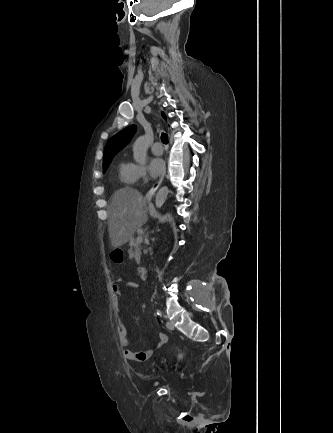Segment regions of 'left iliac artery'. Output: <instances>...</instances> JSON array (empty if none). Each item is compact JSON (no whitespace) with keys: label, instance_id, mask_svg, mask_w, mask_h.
Wrapping results in <instances>:
<instances>
[{"label":"left iliac artery","instance_id":"left-iliac-artery-1","mask_svg":"<svg viewBox=\"0 0 333 433\" xmlns=\"http://www.w3.org/2000/svg\"><path fill=\"white\" fill-rule=\"evenodd\" d=\"M157 315H160V311H157Z\"/></svg>","mask_w":333,"mask_h":433}]
</instances>
